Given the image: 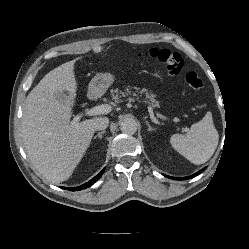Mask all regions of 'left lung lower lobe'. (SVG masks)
<instances>
[{"mask_svg":"<svg viewBox=\"0 0 249 249\" xmlns=\"http://www.w3.org/2000/svg\"><path fill=\"white\" fill-rule=\"evenodd\" d=\"M204 169H202V170H204ZM199 173H201V170L198 171L197 173L189 176V177L177 178V177H170V176H167V175H165V176L168 177V178L174 179V180H186V179H190V178H193V177L197 176Z\"/></svg>","mask_w":249,"mask_h":249,"instance_id":"1","label":"left lung lower lobe"}]
</instances>
